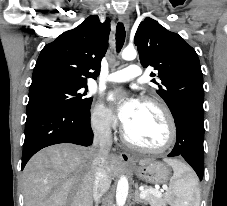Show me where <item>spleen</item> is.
<instances>
[{
	"label": "spleen",
	"mask_w": 227,
	"mask_h": 206,
	"mask_svg": "<svg viewBox=\"0 0 227 206\" xmlns=\"http://www.w3.org/2000/svg\"><path fill=\"white\" fill-rule=\"evenodd\" d=\"M166 162L174 171L167 196L168 201L172 206H199L200 189L197 178L182 162L177 160H166Z\"/></svg>",
	"instance_id": "1"
}]
</instances>
